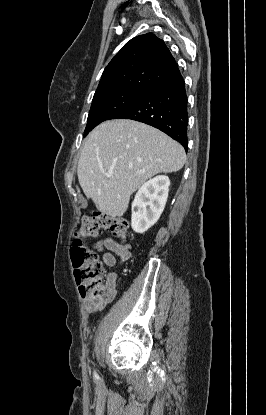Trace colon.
Here are the masks:
<instances>
[{"instance_id": "1", "label": "colon", "mask_w": 266, "mask_h": 415, "mask_svg": "<svg viewBox=\"0 0 266 415\" xmlns=\"http://www.w3.org/2000/svg\"><path fill=\"white\" fill-rule=\"evenodd\" d=\"M101 229L110 231L122 241L128 237L126 220L95 212L82 218L71 249V259L80 292L90 294L95 299H105L110 290L104 279V267L100 258L85 247L83 239L95 237Z\"/></svg>"}]
</instances>
